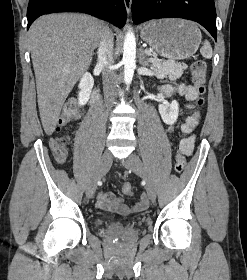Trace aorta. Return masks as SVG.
Listing matches in <instances>:
<instances>
[{
  "label": "aorta",
  "mask_w": 247,
  "mask_h": 280,
  "mask_svg": "<svg viewBox=\"0 0 247 280\" xmlns=\"http://www.w3.org/2000/svg\"><path fill=\"white\" fill-rule=\"evenodd\" d=\"M136 58V42L134 33L129 30L123 45L124 81L127 85L132 82Z\"/></svg>",
  "instance_id": "762f6f07"
}]
</instances>
